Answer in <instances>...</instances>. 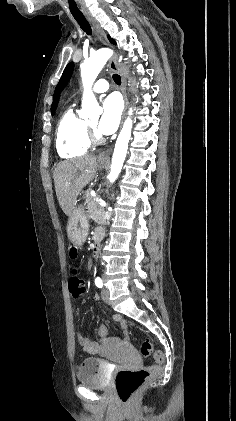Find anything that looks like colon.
<instances>
[{
  "mask_svg": "<svg viewBox=\"0 0 236 421\" xmlns=\"http://www.w3.org/2000/svg\"><path fill=\"white\" fill-rule=\"evenodd\" d=\"M76 253L72 251L74 256ZM69 292L73 298H79L84 292V282L76 274L72 275L68 281ZM153 344L146 341L141 346V353L149 356L153 353ZM154 358L156 364L138 369H121L115 375V388L120 399L128 402L135 391L150 377L161 373L164 363V357L161 352H155Z\"/></svg>",
  "mask_w": 236,
  "mask_h": 421,
  "instance_id": "1",
  "label": "colon"
}]
</instances>
